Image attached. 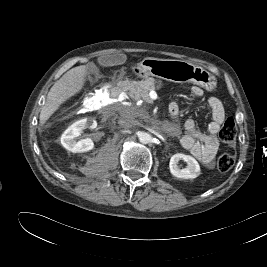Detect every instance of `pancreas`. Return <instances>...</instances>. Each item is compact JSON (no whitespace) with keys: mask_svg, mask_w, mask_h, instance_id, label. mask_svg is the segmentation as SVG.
<instances>
[{"mask_svg":"<svg viewBox=\"0 0 267 267\" xmlns=\"http://www.w3.org/2000/svg\"><path fill=\"white\" fill-rule=\"evenodd\" d=\"M156 83L157 81L153 78L134 82L129 90L130 98L134 101L143 99L146 102H150L149 92L156 89Z\"/></svg>","mask_w":267,"mask_h":267,"instance_id":"cf45deb5","label":"pancreas"}]
</instances>
